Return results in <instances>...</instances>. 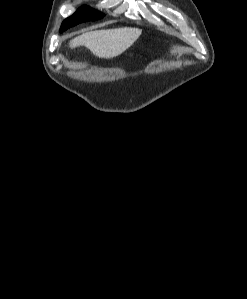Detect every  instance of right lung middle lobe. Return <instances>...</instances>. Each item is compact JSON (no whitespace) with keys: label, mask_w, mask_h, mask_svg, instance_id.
<instances>
[{"label":"right lung middle lobe","mask_w":247,"mask_h":299,"mask_svg":"<svg viewBox=\"0 0 247 299\" xmlns=\"http://www.w3.org/2000/svg\"><path fill=\"white\" fill-rule=\"evenodd\" d=\"M104 17V14L97 12L87 6L79 8L72 16L65 19L61 25L60 32L82 22L95 21Z\"/></svg>","instance_id":"dd1d6c3e"}]
</instances>
